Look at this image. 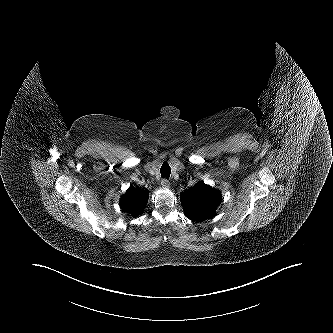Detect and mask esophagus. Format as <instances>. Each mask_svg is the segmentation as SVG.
<instances>
[{
  "label": "esophagus",
  "mask_w": 333,
  "mask_h": 333,
  "mask_svg": "<svg viewBox=\"0 0 333 333\" xmlns=\"http://www.w3.org/2000/svg\"><path fill=\"white\" fill-rule=\"evenodd\" d=\"M161 186L163 187V188H169L170 187V184H169V181L167 180V179H162V181H161Z\"/></svg>",
  "instance_id": "1"
}]
</instances>
